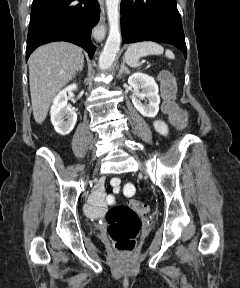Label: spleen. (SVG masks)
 Returning a JSON list of instances; mask_svg holds the SVG:
<instances>
[{
  "label": "spleen",
  "mask_w": 240,
  "mask_h": 288,
  "mask_svg": "<svg viewBox=\"0 0 240 288\" xmlns=\"http://www.w3.org/2000/svg\"><path fill=\"white\" fill-rule=\"evenodd\" d=\"M164 52V48L156 42L153 41H144L131 44L126 53L125 60L130 66H139V60L141 57L147 55H158ZM166 57L169 59H174L175 56L170 50L165 51Z\"/></svg>",
  "instance_id": "3e777b00"
}]
</instances>
